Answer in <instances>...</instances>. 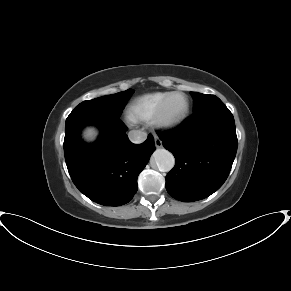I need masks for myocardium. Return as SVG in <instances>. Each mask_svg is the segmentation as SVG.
Instances as JSON below:
<instances>
[{
  "instance_id": "f54148a6",
  "label": "myocardium",
  "mask_w": 291,
  "mask_h": 291,
  "mask_svg": "<svg viewBox=\"0 0 291 291\" xmlns=\"http://www.w3.org/2000/svg\"><path fill=\"white\" fill-rule=\"evenodd\" d=\"M175 96H182L185 98V109L180 117L176 119H168L167 108H168L170 100ZM189 112H190V102L187 95L182 92H171L160 104L154 116L153 123L159 128H164V129L175 128L185 121V119L189 115Z\"/></svg>"
}]
</instances>
